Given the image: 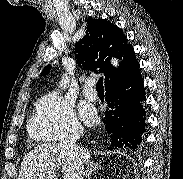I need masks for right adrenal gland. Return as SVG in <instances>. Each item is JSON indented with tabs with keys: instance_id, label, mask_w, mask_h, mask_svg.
<instances>
[{
	"instance_id": "1",
	"label": "right adrenal gland",
	"mask_w": 183,
	"mask_h": 179,
	"mask_svg": "<svg viewBox=\"0 0 183 179\" xmlns=\"http://www.w3.org/2000/svg\"><path fill=\"white\" fill-rule=\"evenodd\" d=\"M99 168H101V162L99 163L90 162V164L87 165V170H86L87 178L91 179L94 172H96Z\"/></svg>"
}]
</instances>
